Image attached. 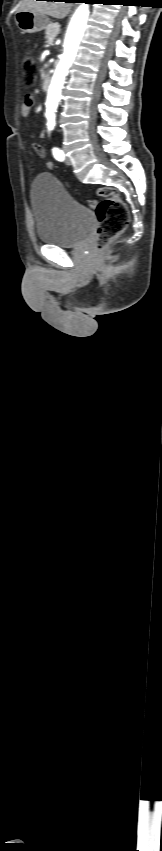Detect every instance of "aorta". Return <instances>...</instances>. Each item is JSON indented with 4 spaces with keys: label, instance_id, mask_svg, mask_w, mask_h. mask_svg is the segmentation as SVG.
I'll return each instance as SVG.
<instances>
[{
    "label": "aorta",
    "instance_id": "762f6f07",
    "mask_svg": "<svg viewBox=\"0 0 162 851\" xmlns=\"http://www.w3.org/2000/svg\"><path fill=\"white\" fill-rule=\"evenodd\" d=\"M89 17L88 4L82 3L75 11L65 36L64 52L53 74L47 94V117L49 121L55 120V112L61 98V92L69 68L74 61L78 46L84 35Z\"/></svg>",
    "mask_w": 162,
    "mask_h": 851
}]
</instances>
